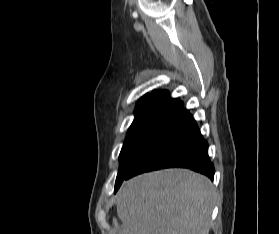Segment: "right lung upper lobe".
<instances>
[{
    "instance_id": "right-lung-upper-lobe-1",
    "label": "right lung upper lobe",
    "mask_w": 279,
    "mask_h": 234,
    "mask_svg": "<svg viewBox=\"0 0 279 234\" xmlns=\"http://www.w3.org/2000/svg\"><path fill=\"white\" fill-rule=\"evenodd\" d=\"M181 101L178 99L169 98L168 91L157 90L153 91L152 94L144 95L136 104L137 111L157 109V108H174Z\"/></svg>"
}]
</instances>
